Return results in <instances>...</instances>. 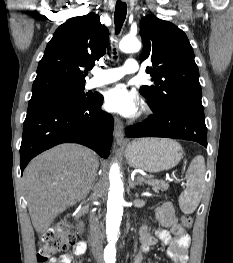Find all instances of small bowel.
<instances>
[{"mask_svg":"<svg viewBox=\"0 0 233 263\" xmlns=\"http://www.w3.org/2000/svg\"><path fill=\"white\" fill-rule=\"evenodd\" d=\"M156 218L168 229H160L152 234L146 226H143L140 230L141 246L139 252L135 255L134 263H141L143 254L149 252L151 247L159 242L168 246L167 254L173 263H187L191 238L188 232L178 224L173 205L168 201L162 203L156 209ZM86 249V242L80 241L75 245L74 253L81 256L86 252ZM55 263L74 262L72 256L65 255Z\"/></svg>","mask_w":233,"mask_h":263,"instance_id":"obj_1","label":"small bowel"}]
</instances>
